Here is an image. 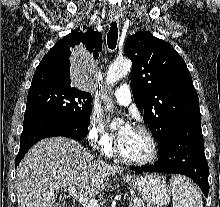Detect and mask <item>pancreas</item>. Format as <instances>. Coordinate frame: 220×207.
Returning <instances> with one entry per match:
<instances>
[{"label": "pancreas", "instance_id": "cf45deb5", "mask_svg": "<svg viewBox=\"0 0 220 207\" xmlns=\"http://www.w3.org/2000/svg\"><path fill=\"white\" fill-rule=\"evenodd\" d=\"M129 207H146L143 201L141 200H134L130 203Z\"/></svg>", "mask_w": 220, "mask_h": 207}]
</instances>
